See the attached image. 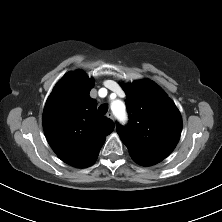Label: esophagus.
Segmentation results:
<instances>
[{
	"instance_id": "esophagus-1",
	"label": "esophagus",
	"mask_w": 222,
	"mask_h": 222,
	"mask_svg": "<svg viewBox=\"0 0 222 222\" xmlns=\"http://www.w3.org/2000/svg\"><path fill=\"white\" fill-rule=\"evenodd\" d=\"M109 119L113 120V114L111 112L107 113L106 115Z\"/></svg>"
}]
</instances>
